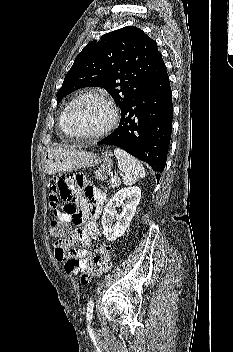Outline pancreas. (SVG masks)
Wrapping results in <instances>:
<instances>
[{
	"mask_svg": "<svg viewBox=\"0 0 233 352\" xmlns=\"http://www.w3.org/2000/svg\"><path fill=\"white\" fill-rule=\"evenodd\" d=\"M120 186V179H117L115 182H110L109 188L115 189Z\"/></svg>",
	"mask_w": 233,
	"mask_h": 352,
	"instance_id": "obj_1",
	"label": "pancreas"
}]
</instances>
